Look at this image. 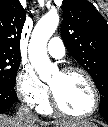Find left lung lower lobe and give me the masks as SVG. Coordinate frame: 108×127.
I'll list each match as a JSON object with an SVG mask.
<instances>
[{"label": "left lung lower lobe", "instance_id": "left-lung-lower-lobe-1", "mask_svg": "<svg viewBox=\"0 0 108 127\" xmlns=\"http://www.w3.org/2000/svg\"><path fill=\"white\" fill-rule=\"evenodd\" d=\"M100 114L105 118L106 121H108V113L103 112V113H100Z\"/></svg>", "mask_w": 108, "mask_h": 127}]
</instances>
